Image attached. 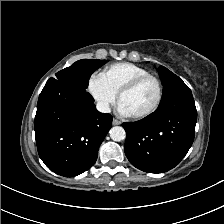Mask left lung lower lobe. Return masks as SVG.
<instances>
[{
	"label": "left lung lower lobe",
	"mask_w": 224,
	"mask_h": 224,
	"mask_svg": "<svg viewBox=\"0 0 224 224\" xmlns=\"http://www.w3.org/2000/svg\"><path fill=\"white\" fill-rule=\"evenodd\" d=\"M196 121L197 111L189 90L161 102L155 112L142 120L123 123L128 160L149 173L174 168L193 143Z\"/></svg>",
	"instance_id": "0a47b994"
}]
</instances>
